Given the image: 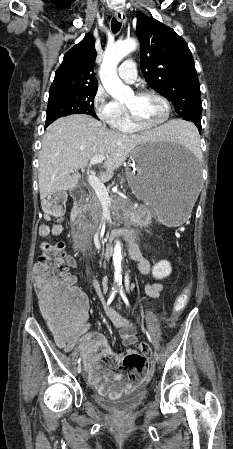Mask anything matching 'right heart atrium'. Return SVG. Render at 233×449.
<instances>
[{"label": "right heart atrium", "mask_w": 233, "mask_h": 449, "mask_svg": "<svg viewBox=\"0 0 233 449\" xmlns=\"http://www.w3.org/2000/svg\"><path fill=\"white\" fill-rule=\"evenodd\" d=\"M92 105L98 118L110 123L117 113V103L109 98L106 90L99 86L94 94Z\"/></svg>", "instance_id": "obj_1"}]
</instances>
